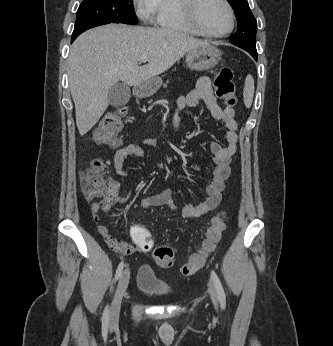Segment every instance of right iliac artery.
Instances as JSON below:
<instances>
[{"instance_id": "82829eb1", "label": "right iliac artery", "mask_w": 333, "mask_h": 346, "mask_svg": "<svg viewBox=\"0 0 333 346\" xmlns=\"http://www.w3.org/2000/svg\"><path fill=\"white\" fill-rule=\"evenodd\" d=\"M123 267H124V263L121 262L118 265V268L116 270V275H115L116 280H118L119 277L121 276L122 271H123ZM108 324H109V308H108V306H106V308H105V310L103 312V317H102V328H103V330H106L108 328Z\"/></svg>"}]
</instances>
